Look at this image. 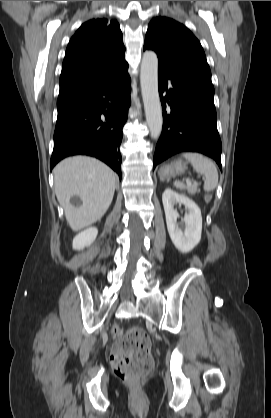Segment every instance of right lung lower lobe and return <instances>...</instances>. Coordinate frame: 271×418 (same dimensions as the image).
Instances as JSON below:
<instances>
[{"mask_svg": "<svg viewBox=\"0 0 271 418\" xmlns=\"http://www.w3.org/2000/svg\"><path fill=\"white\" fill-rule=\"evenodd\" d=\"M128 67L105 81L97 90L57 105L52 169L67 156H94L121 178L119 146L130 106Z\"/></svg>", "mask_w": 271, "mask_h": 418, "instance_id": "98d812e1", "label": "right lung lower lobe"}]
</instances>
